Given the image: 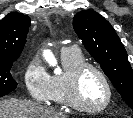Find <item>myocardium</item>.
I'll list each match as a JSON object with an SVG mask.
<instances>
[{
	"instance_id": "obj_1",
	"label": "myocardium",
	"mask_w": 133,
	"mask_h": 118,
	"mask_svg": "<svg viewBox=\"0 0 133 118\" xmlns=\"http://www.w3.org/2000/svg\"><path fill=\"white\" fill-rule=\"evenodd\" d=\"M89 69L94 70L95 72L98 73V75L103 80L107 90V97L105 102L98 107H88L84 105L79 98L80 79L83 73ZM66 99L69 106H71L73 109L77 111L88 113V114L101 113L110 106L113 99V88H112L111 81L107 76V74L103 71V69H101L98 65L93 63L83 62L77 67H75L67 76Z\"/></svg>"
}]
</instances>
